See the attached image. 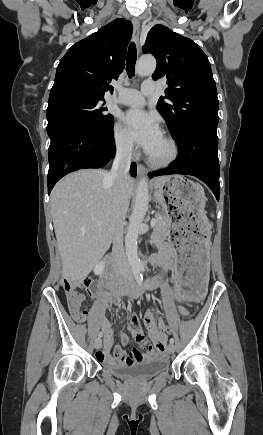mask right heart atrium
Here are the masks:
<instances>
[{"mask_svg": "<svg viewBox=\"0 0 263 435\" xmlns=\"http://www.w3.org/2000/svg\"><path fill=\"white\" fill-rule=\"evenodd\" d=\"M112 138L115 150L120 157L129 159L135 155L133 142L119 124L113 127Z\"/></svg>", "mask_w": 263, "mask_h": 435, "instance_id": "right-heart-atrium-1", "label": "right heart atrium"}]
</instances>
